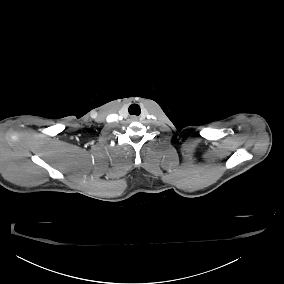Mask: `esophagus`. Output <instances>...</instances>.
I'll use <instances>...</instances> for the list:
<instances>
[{"instance_id":"esophagus-1","label":"esophagus","mask_w":284,"mask_h":284,"mask_svg":"<svg viewBox=\"0 0 284 284\" xmlns=\"http://www.w3.org/2000/svg\"><path fill=\"white\" fill-rule=\"evenodd\" d=\"M130 119H131L132 121H137V120H138V117H137L136 115H131V116H130Z\"/></svg>"}]
</instances>
